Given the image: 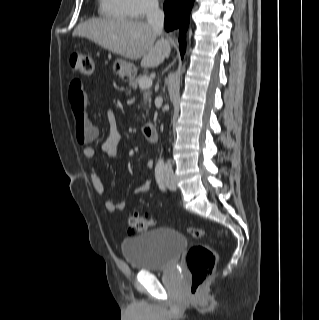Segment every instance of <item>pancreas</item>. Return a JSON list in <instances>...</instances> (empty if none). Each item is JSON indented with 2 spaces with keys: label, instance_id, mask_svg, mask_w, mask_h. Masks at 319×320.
<instances>
[{
  "label": "pancreas",
  "instance_id": "obj_1",
  "mask_svg": "<svg viewBox=\"0 0 319 320\" xmlns=\"http://www.w3.org/2000/svg\"><path fill=\"white\" fill-rule=\"evenodd\" d=\"M142 78V75H139L138 77L130 80L129 82V89L127 90V93L130 94L131 88L133 90H136L137 87L139 86V80ZM151 94L152 92L150 91L149 88H145L143 90V100L141 102V106L148 111V107L151 106Z\"/></svg>",
  "mask_w": 319,
  "mask_h": 320
}]
</instances>
